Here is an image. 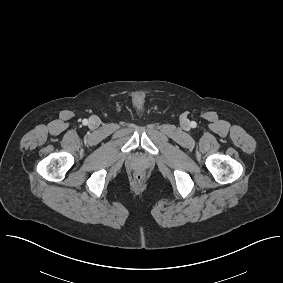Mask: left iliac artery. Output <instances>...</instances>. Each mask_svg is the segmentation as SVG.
<instances>
[{
  "label": "left iliac artery",
  "instance_id": "left-iliac-artery-1",
  "mask_svg": "<svg viewBox=\"0 0 283 283\" xmlns=\"http://www.w3.org/2000/svg\"><path fill=\"white\" fill-rule=\"evenodd\" d=\"M191 126H192L193 128H195V127H196V122L192 121V122H191Z\"/></svg>",
  "mask_w": 283,
  "mask_h": 283
}]
</instances>
